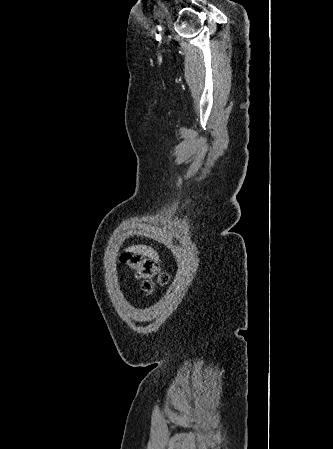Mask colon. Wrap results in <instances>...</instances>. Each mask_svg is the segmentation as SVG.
Returning a JSON list of instances; mask_svg holds the SVG:
<instances>
[{
	"instance_id": "colon-1",
	"label": "colon",
	"mask_w": 333,
	"mask_h": 449,
	"mask_svg": "<svg viewBox=\"0 0 333 449\" xmlns=\"http://www.w3.org/2000/svg\"><path fill=\"white\" fill-rule=\"evenodd\" d=\"M121 263L132 270L142 280V289L151 292L156 284H166L167 274L162 273L156 260L134 252H124L120 257Z\"/></svg>"
}]
</instances>
